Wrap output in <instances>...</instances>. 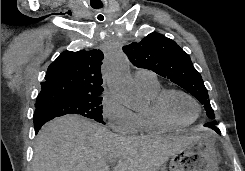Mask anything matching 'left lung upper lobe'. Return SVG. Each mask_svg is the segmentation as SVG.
Returning <instances> with one entry per match:
<instances>
[{
	"mask_svg": "<svg viewBox=\"0 0 245 171\" xmlns=\"http://www.w3.org/2000/svg\"><path fill=\"white\" fill-rule=\"evenodd\" d=\"M133 65L152 70L190 92L214 119V111L201 75L194 68L190 56L173 40L159 33H151L140 42L123 47ZM215 124L214 122H209Z\"/></svg>",
	"mask_w": 245,
	"mask_h": 171,
	"instance_id": "left-lung-upper-lobe-1",
	"label": "left lung upper lobe"
}]
</instances>
